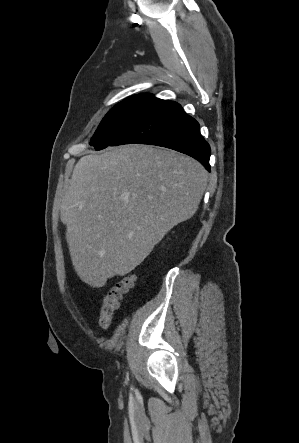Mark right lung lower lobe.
Wrapping results in <instances>:
<instances>
[{"instance_id": "1", "label": "right lung lower lobe", "mask_w": 299, "mask_h": 443, "mask_svg": "<svg viewBox=\"0 0 299 443\" xmlns=\"http://www.w3.org/2000/svg\"><path fill=\"white\" fill-rule=\"evenodd\" d=\"M149 144L192 156L210 171V146L199 124L174 101L156 99L110 146Z\"/></svg>"}]
</instances>
